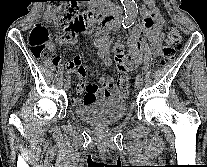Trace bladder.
<instances>
[{
  "mask_svg": "<svg viewBox=\"0 0 207 167\" xmlns=\"http://www.w3.org/2000/svg\"><path fill=\"white\" fill-rule=\"evenodd\" d=\"M126 112V102L121 96H106L75 107L79 119L96 125L117 122L125 116Z\"/></svg>",
  "mask_w": 207,
  "mask_h": 167,
  "instance_id": "31cf9c89",
  "label": "bladder"
}]
</instances>
